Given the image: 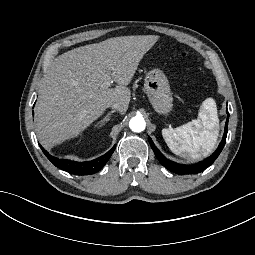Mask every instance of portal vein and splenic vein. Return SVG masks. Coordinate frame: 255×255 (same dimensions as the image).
<instances>
[{
  "label": "portal vein and splenic vein",
  "mask_w": 255,
  "mask_h": 255,
  "mask_svg": "<svg viewBox=\"0 0 255 255\" xmlns=\"http://www.w3.org/2000/svg\"><path fill=\"white\" fill-rule=\"evenodd\" d=\"M111 84V77L107 76L104 80V82L101 84L100 88L101 89H107Z\"/></svg>",
  "instance_id": "1"
}]
</instances>
